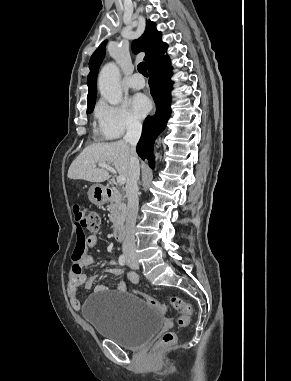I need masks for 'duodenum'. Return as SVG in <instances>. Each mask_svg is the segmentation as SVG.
Segmentation results:
<instances>
[{
    "label": "duodenum",
    "mask_w": 291,
    "mask_h": 381,
    "mask_svg": "<svg viewBox=\"0 0 291 381\" xmlns=\"http://www.w3.org/2000/svg\"><path fill=\"white\" fill-rule=\"evenodd\" d=\"M103 194L107 199H110L113 196L114 191L111 188H105L103 189ZM125 235H126V230H125L124 224H117L114 227V237L116 241L118 242L124 241Z\"/></svg>",
    "instance_id": "1"
}]
</instances>
